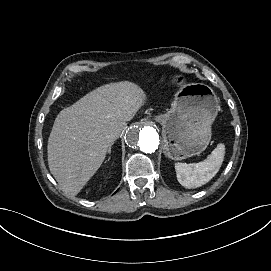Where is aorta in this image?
<instances>
[{
  "instance_id": "aorta-1",
  "label": "aorta",
  "mask_w": 271,
  "mask_h": 271,
  "mask_svg": "<svg viewBox=\"0 0 271 271\" xmlns=\"http://www.w3.org/2000/svg\"><path fill=\"white\" fill-rule=\"evenodd\" d=\"M125 141L134 150L153 153L158 148L160 140L156 129L144 122H138L128 129Z\"/></svg>"
}]
</instances>
